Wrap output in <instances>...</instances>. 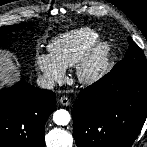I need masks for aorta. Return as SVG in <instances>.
Listing matches in <instances>:
<instances>
[{"label":"aorta","mask_w":147,"mask_h":147,"mask_svg":"<svg viewBox=\"0 0 147 147\" xmlns=\"http://www.w3.org/2000/svg\"><path fill=\"white\" fill-rule=\"evenodd\" d=\"M70 120L71 117L69 112L64 109L57 110L53 114V121L57 125L65 126L70 122Z\"/></svg>","instance_id":"aorta-1"}]
</instances>
